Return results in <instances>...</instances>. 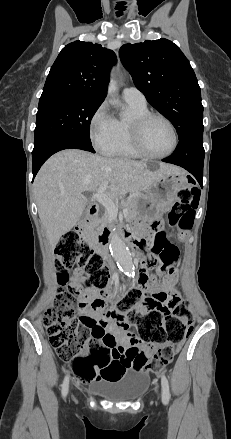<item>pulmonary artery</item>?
Masks as SVG:
<instances>
[{"instance_id": "1", "label": "pulmonary artery", "mask_w": 231, "mask_h": 439, "mask_svg": "<svg viewBox=\"0 0 231 439\" xmlns=\"http://www.w3.org/2000/svg\"><path fill=\"white\" fill-rule=\"evenodd\" d=\"M123 97L126 101L146 104V98L144 94L135 87L124 88Z\"/></svg>"}]
</instances>
